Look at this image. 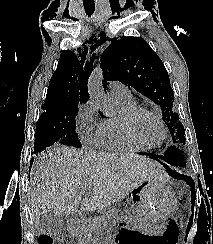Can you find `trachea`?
<instances>
[{"label":"trachea","instance_id":"obj_1","mask_svg":"<svg viewBox=\"0 0 213 244\" xmlns=\"http://www.w3.org/2000/svg\"><path fill=\"white\" fill-rule=\"evenodd\" d=\"M93 13V9L88 11V14H92Z\"/></svg>","mask_w":213,"mask_h":244}]
</instances>
